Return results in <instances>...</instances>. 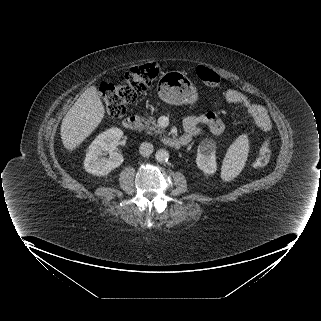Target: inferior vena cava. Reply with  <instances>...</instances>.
Wrapping results in <instances>:
<instances>
[{
    "mask_svg": "<svg viewBox=\"0 0 321 321\" xmlns=\"http://www.w3.org/2000/svg\"><path fill=\"white\" fill-rule=\"evenodd\" d=\"M153 145L149 142H143L139 147V152L144 157H149L153 152Z\"/></svg>",
    "mask_w": 321,
    "mask_h": 321,
    "instance_id": "obj_1",
    "label": "inferior vena cava"
}]
</instances>
